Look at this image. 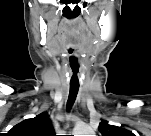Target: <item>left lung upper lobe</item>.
<instances>
[{
  "label": "left lung upper lobe",
  "mask_w": 151,
  "mask_h": 136,
  "mask_svg": "<svg viewBox=\"0 0 151 136\" xmlns=\"http://www.w3.org/2000/svg\"><path fill=\"white\" fill-rule=\"evenodd\" d=\"M98 130L102 136H125L127 134L126 130L110 125L107 121L104 120L99 124Z\"/></svg>",
  "instance_id": "left-lung-upper-lobe-1"
}]
</instances>
